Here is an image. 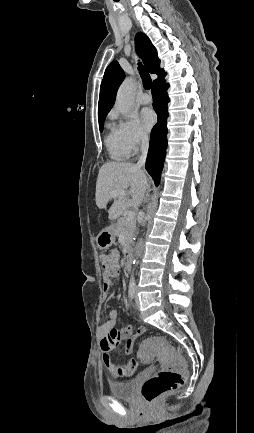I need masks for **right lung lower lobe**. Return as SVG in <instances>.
Wrapping results in <instances>:
<instances>
[{"mask_svg":"<svg viewBox=\"0 0 254 433\" xmlns=\"http://www.w3.org/2000/svg\"><path fill=\"white\" fill-rule=\"evenodd\" d=\"M164 76L153 83L152 87L153 107L158 116V123L151 131L149 151L146 160V169L153 178L156 186H158L160 182L167 147V103L169 99L166 91L169 85L166 84Z\"/></svg>","mask_w":254,"mask_h":433,"instance_id":"obj_1","label":"right lung lower lobe"}]
</instances>
